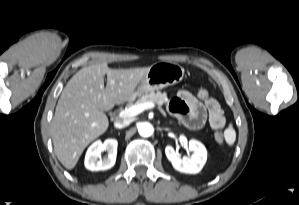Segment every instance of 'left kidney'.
<instances>
[{"mask_svg": "<svg viewBox=\"0 0 299 205\" xmlns=\"http://www.w3.org/2000/svg\"><path fill=\"white\" fill-rule=\"evenodd\" d=\"M189 149L193 152L191 157L180 158L172 146H166L165 154L175 170L182 173L196 174L201 171L207 160L205 146L194 139L189 141Z\"/></svg>", "mask_w": 299, "mask_h": 205, "instance_id": "5707ae66", "label": "left kidney"}]
</instances>
